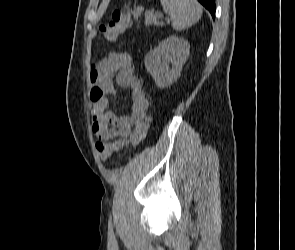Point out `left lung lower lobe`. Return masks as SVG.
<instances>
[{
    "mask_svg": "<svg viewBox=\"0 0 295 250\" xmlns=\"http://www.w3.org/2000/svg\"><path fill=\"white\" fill-rule=\"evenodd\" d=\"M206 9L209 10L211 13L212 17H215V10H216V5H215V0H198Z\"/></svg>",
    "mask_w": 295,
    "mask_h": 250,
    "instance_id": "obj_1",
    "label": "left lung lower lobe"
}]
</instances>
